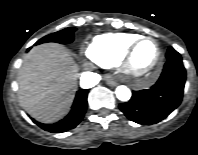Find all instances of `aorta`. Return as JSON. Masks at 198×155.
Wrapping results in <instances>:
<instances>
[{"mask_svg": "<svg viewBox=\"0 0 198 155\" xmlns=\"http://www.w3.org/2000/svg\"><path fill=\"white\" fill-rule=\"evenodd\" d=\"M116 97L123 102L128 101L131 98V91L127 86L120 85L115 90Z\"/></svg>", "mask_w": 198, "mask_h": 155, "instance_id": "762f6f07", "label": "aorta"}]
</instances>
